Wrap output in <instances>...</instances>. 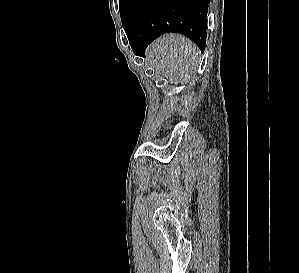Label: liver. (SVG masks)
Instances as JSON below:
<instances>
[{"label":"liver","instance_id":"obj_1","mask_svg":"<svg viewBox=\"0 0 299 273\" xmlns=\"http://www.w3.org/2000/svg\"><path fill=\"white\" fill-rule=\"evenodd\" d=\"M199 49L189 39L178 34H167L147 49V59L170 83L185 84L196 73Z\"/></svg>","mask_w":299,"mask_h":273}]
</instances>
